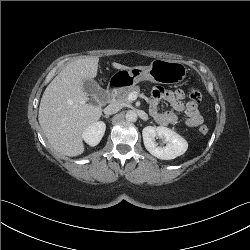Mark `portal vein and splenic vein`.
<instances>
[{
	"instance_id": "1",
	"label": "portal vein and splenic vein",
	"mask_w": 250,
	"mask_h": 250,
	"mask_svg": "<svg viewBox=\"0 0 250 250\" xmlns=\"http://www.w3.org/2000/svg\"><path fill=\"white\" fill-rule=\"evenodd\" d=\"M136 98H137V93L136 92H132L128 96V99L131 100V101L135 100Z\"/></svg>"
}]
</instances>
